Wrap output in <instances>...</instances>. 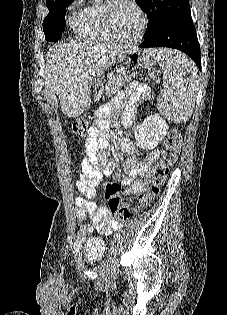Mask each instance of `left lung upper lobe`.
Masks as SVG:
<instances>
[{
  "instance_id": "1",
  "label": "left lung upper lobe",
  "mask_w": 227,
  "mask_h": 315,
  "mask_svg": "<svg viewBox=\"0 0 227 315\" xmlns=\"http://www.w3.org/2000/svg\"><path fill=\"white\" fill-rule=\"evenodd\" d=\"M136 2L149 19L146 37L167 22L191 15L188 0H136Z\"/></svg>"
}]
</instances>
